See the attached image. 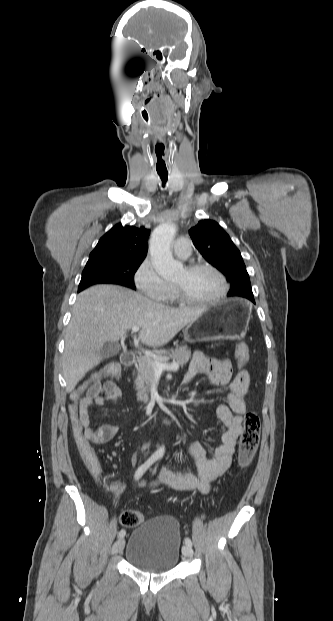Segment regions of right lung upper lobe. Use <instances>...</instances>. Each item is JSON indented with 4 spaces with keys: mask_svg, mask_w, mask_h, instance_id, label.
<instances>
[{
    "mask_svg": "<svg viewBox=\"0 0 333 621\" xmlns=\"http://www.w3.org/2000/svg\"><path fill=\"white\" fill-rule=\"evenodd\" d=\"M150 230L116 224L102 236L88 261L127 259L143 261L147 255Z\"/></svg>",
    "mask_w": 333,
    "mask_h": 621,
    "instance_id": "obj_1",
    "label": "right lung upper lobe"
}]
</instances>
